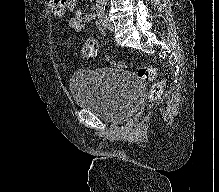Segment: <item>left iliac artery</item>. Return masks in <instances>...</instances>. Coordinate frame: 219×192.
I'll list each match as a JSON object with an SVG mask.
<instances>
[{"label":"left iliac artery","instance_id":"left-iliac-artery-1","mask_svg":"<svg viewBox=\"0 0 219 192\" xmlns=\"http://www.w3.org/2000/svg\"><path fill=\"white\" fill-rule=\"evenodd\" d=\"M104 11H105V7L99 9L98 17H99L100 22L105 26V14H104Z\"/></svg>","mask_w":219,"mask_h":192}]
</instances>
